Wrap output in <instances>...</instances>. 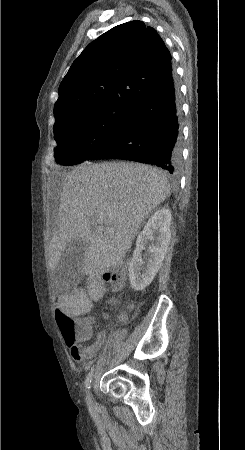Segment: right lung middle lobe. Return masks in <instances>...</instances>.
<instances>
[{"label":"right lung middle lobe","instance_id":"1","mask_svg":"<svg viewBox=\"0 0 245 450\" xmlns=\"http://www.w3.org/2000/svg\"><path fill=\"white\" fill-rule=\"evenodd\" d=\"M131 109L109 104L55 116L56 162L76 165L105 150L121 136Z\"/></svg>","mask_w":245,"mask_h":450}]
</instances>
